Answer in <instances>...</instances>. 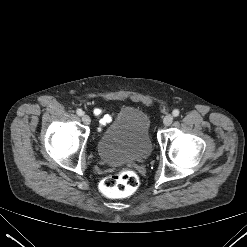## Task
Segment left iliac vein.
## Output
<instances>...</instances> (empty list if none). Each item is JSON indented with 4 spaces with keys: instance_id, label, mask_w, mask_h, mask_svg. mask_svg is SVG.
Segmentation results:
<instances>
[{
    "instance_id": "4c4485c4",
    "label": "left iliac vein",
    "mask_w": 247,
    "mask_h": 247,
    "mask_svg": "<svg viewBox=\"0 0 247 247\" xmlns=\"http://www.w3.org/2000/svg\"><path fill=\"white\" fill-rule=\"evenodd\" d=\"M172 122H173V116L170 115V114L166 115V116L164 117V119H163V123H164L165 126L171 125Z\"/></svg>"
}]
</instances>
